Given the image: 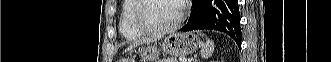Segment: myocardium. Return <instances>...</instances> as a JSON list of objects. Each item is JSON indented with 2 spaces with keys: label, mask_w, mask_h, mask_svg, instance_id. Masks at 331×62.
I'll use <instances>...</instances> for the list:
<instances>
[{
  "label": "myocardium",
  "mask_w": 331,
  "mask_h": 62,
  "mask_svg": "<svg viewBox=\"0 0 331 62\" xmlns=\"http://www.w3.org/2000/svg\"><path fill=\"white\" fill-rule=\"evenodd\" d=\"M148 0H136V5L132 14V21L137 30L145 35L163 34L175 30L184 19L186 4L183 0H176L179 3V14L174 22L167 26L152 27L148 25L141 17V11Z\"/></svg>",
  "instance_id": "obj_1"
}]
</instances>
